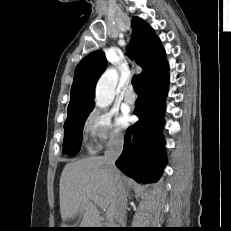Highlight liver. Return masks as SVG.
Segmentation results:
<instances>
[{
  "label": "liver",
  "mask_w": 231,
  "mask_h": 231,
  "mask_svg": "<svg viewBox=\"0 0 231 231\" xmlns=\"http://www.w3.org/2000/svg\"><path fill=\"white\" fill-rule=\"evenodd\" d=\"M118 180L122 183L119 171ZM60 213L63 221L81 214L80 228L101 226L97 207L90 199L98 196L107 210L110 222L115 217V177L107 169L103 157L92 156L65 165L60 177ZM62 226H69L62 224Z\"/></svg>",
  "instance_id": "liver-1"
}]
</instances>
